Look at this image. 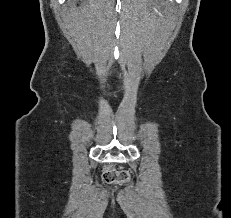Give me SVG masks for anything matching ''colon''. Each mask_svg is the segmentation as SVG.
Wrapping results in <instances>:
<instances>
[{
	"mask_svg": "<svg viewBox=\"0 0 231 218\" xmlns=\"http://www.w3.org/2000/svg\"><path fill=\"white\" fill-rule=\"evenodd\" d=\"M102 178L108 184L124 183L130 179V173L128 170H117L107 165L103 168Z\"/></svg>",
	"mask_w": 231,
	"mask_h": 218,
	"instance_id": "colon-1",
	"label": "colon"
}]
</instances>
